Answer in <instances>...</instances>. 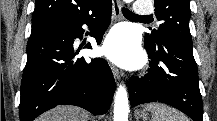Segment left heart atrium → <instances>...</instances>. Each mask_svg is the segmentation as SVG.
Listing matches in <instances>:
<instances>
[{
	"mask_svg": "<svg viewBox=\"0 0 217 121\" xmlns=\"http://www.w3.org/2000/svg\"><path fill=\"white\" fill-rule=\"evenodd\" d=\"M103 53L117 64L137 67L142 63V53L134 34L125 27L113 30L103 45Z\"/></svg>",
	"mask_w": 217,
	"mask_h": 121,
	"instance_id": "obj_1",
	"label": "left heart atrium"
}]
</instances>
